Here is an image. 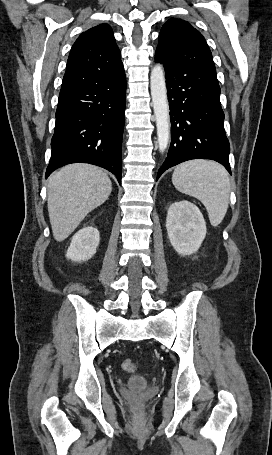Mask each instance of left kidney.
Masks as SVG:
<instances>
[{"instance_id": "1", "label": "left kidney", "mask_w": 272, "mask_h": 455, "mask_svg": "<svg viewBox=\"0 0 272 455\" xmlns=\"http://www.w3.org/2000/svg\"><path fill=\"white\" fill-rule=\"evenodd\" d=\"M166 229L171 245L182 256L195 253L207 232L199 208L186 200L175 202L169 207Z\"/></svg>"}]
</instances>
